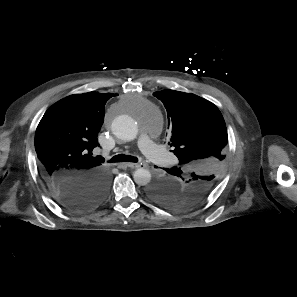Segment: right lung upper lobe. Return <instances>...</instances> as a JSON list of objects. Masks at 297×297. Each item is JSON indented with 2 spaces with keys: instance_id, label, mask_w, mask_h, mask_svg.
<instances>
[{
  "instance_id": "1",
  "label": "right lung upper lobe",
  "mask_w": 297,
  "mask_h": 297,
  "mask_svg": "<svg viewBox=\"0 0 297 297\" xmlns=\"http://www.w3.org/2000/svg\"><path fill=\"white\" fill-rule=\"evenodd\" d=\"M117 94L95 91L68 96L52 105L35 134L42 175L51 186L56 179L79 180L103 171L101 156L93 157L104 119L105 103Z\"/></svg>"
}]
</instances>
